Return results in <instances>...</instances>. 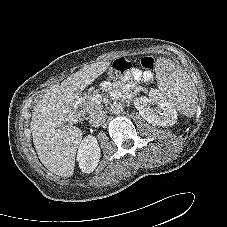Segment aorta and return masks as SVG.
<instances>
[{"instance_id":"obj_1","label":"aorta","mask_w":227,"mask_h":227,"mask_svg":"<svg viewBox=\"0 0 227 227\" xmlns=\"http://www.w3.org/2000/svg\"><path fill=\"white\" fill-rule=\"evenodd\" d=\"M110 111L114 114H120L123 111V104L120 102H113Z\"/></svg>"}]
</instances>
